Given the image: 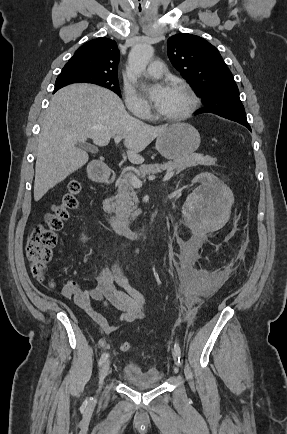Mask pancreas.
<instances>
[{
	"mask_svg": "<svg viewBox=\"0 0 287 434\" xmlns=\"http://www.w3.org/2000/svg\"><path fill=\"white\" fill-rule=\"evenodd\" d=\"M216 160V158L210 157L208 155H187L163 164L141 165L137 172H129L122 175L118 179V190L116 196L114 197L113 205L115 207V214L127 222L134 220L140 214V210L137 208L139 200L136 191L131 184L132 176L145 177L147 175H154L158 172L169 169H172L176 172V174H179L181 171L187 168L196 167L198 165H215Z\"/></svg>",
	"mask_w": 287,
	"mask_h": 434,
	"instance_id": "1",
	"label": "pancreas"
}]
</instances>
